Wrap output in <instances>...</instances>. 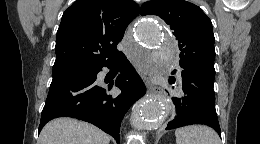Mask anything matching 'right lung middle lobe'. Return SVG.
I'll return each instance as SVG.
<instances>
[{"label":"right lung middle lobe","instance_id":"right-lung-middle-lobe-1","mask_svg":"<svg viewBox=\"0 0 260 144\" xmlns=\"http://www.w3.org/2000/svg\"><path fill=\"white\" fill-rule=\"evenodd\" d=\"M85 71H86V67H78V68L53 71L52 82L60 80V79H64V78H67V77H70L73 75L83 74Z\"/></svg>","mask_w":260,"mask_h":144}]
</instances>
